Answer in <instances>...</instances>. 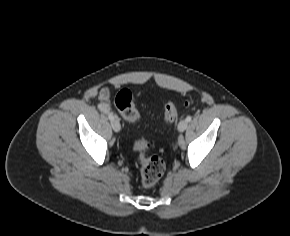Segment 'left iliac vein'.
<instances>
[{
  "mask_svg": "<svg viewBox=\"0 0 290 236\" xmlns=\"http://www.w3.org/2000/svg\"><path fill=\"white\" fill-rule=\"evenodd\" d=\"M188 122L186 120H181L178 124V130L183 132L187 128Z\"/></svg>",
  "mask_w": 290,
  "mask_h": 236,
  "instance_id": "obj_1",
  "label": "left iliac vein"
}]
</instances>
